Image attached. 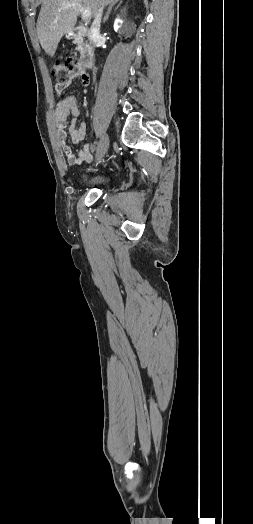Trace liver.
I'll return each instance as SVG.
<instances>
[{"instance_id": "liver-1", "label": "liver", "mask_w": 253, "mask_h": 524, "mask_svg": "<svg viewBox=\"0 0 253 524\" xmlns=\"http://www.w3.org/2000/svg\"><path fill=\"white\" fill-rule=\"evenodd\" d=\"M116 0H42L37 20V36L44 51L53 56L63 35L70 32L76 22L79 11L76 7L63 9L68 3L79 2L88 7L93 17L99 8L114 3Z\"/></svg>"}]
</instances>
